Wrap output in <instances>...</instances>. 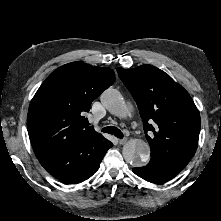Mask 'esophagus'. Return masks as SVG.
I'll use <instances>...</instances> for the list:
<instances>
[{"label": "esophagus", "instance_id": "obj_1", "mask_svg": "<svg viewBox=\"0 0 221 221\" xmlns=\"http://www.w3.org/2000/svg\"><path fill=\"white\" fill-rule=\"evenodd\" d=\"M118 142L120 145H124L127 142V138L119 139Z\"/></svg>", "mask_w": 221, "mask_h": 221}]
</instances>
